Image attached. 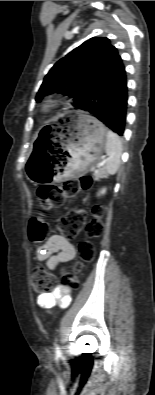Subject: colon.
Wrapping results in <instances>:
<instances>
[{
    "mask_svg": "<svg viewBox=\"0 0 155 395\" xmlns=\"http://www.w3.org/2000/svg\"><path fill=\"white\" fill-rule=\"evenodd\" d=\"M92 179L85 175L78 179H69L59 184L42 185L37 189V197L44 210H51L64 204L67 198L76 196L81 190L88 189ZM104 210L101 206L92 209L91 217L86 222V216L82 210H70L63 215L57 224L58 230L64 237L74 238L82 230L85 231L87 240L79 243V256L81 262H90L95 257V247L89 239L98 238L104 230ZM47 234V224L38 218L29 222L28 235L34 244L42 243ZM81 262L74 264L69 272L68 268H61L63 288L76 289L79 287V274ZM34 291L38 294L49 292L55 286V276L43 269L37 268L32 273Z\"/></svg>",
    "mask_w": 155,
    "mask_h": 395,
    "instance_id": "1",
    "label": "colon"
}]
</instances>
